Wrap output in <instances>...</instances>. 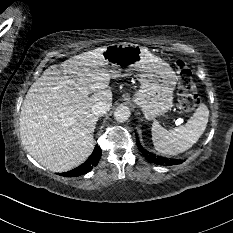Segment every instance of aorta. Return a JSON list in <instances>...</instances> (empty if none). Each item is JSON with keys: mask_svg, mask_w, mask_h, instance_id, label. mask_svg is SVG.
Instances as JSON below:
<instances>
[{"mask_svg": "<svg viewBox=\"0 0 233 233\" xmlns=\"http://www.w3.org/2000/svg\"><path fill=\"white\" fill-rule=\"evenodd\" d=\"M130 109L127 106H120L114 111L115 120L119 122L126 121L130 117Z\"/></svg>", "mask_w": 233, "mask_h": 233, "instance_id": "aorta-1", "label": "aorta"}]
</instances>
